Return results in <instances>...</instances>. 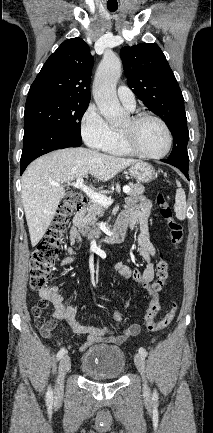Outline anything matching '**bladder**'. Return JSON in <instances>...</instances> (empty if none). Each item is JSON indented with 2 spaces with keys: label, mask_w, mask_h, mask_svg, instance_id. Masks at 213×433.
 <instances>
[{
  "label": "bladder",
  "mask_w": 213,
  "mask_h": 433,
  "mask_svg": "<svg viewBox=\"0 0 213 433\" xmlns=\"http://www.w3.org/2000/svg\"><path fill=\"white\" fill-rule=\"evenodd\" d=\"M80 368L85 375L93 379H116L125 371V354L115 345H94L82 355Z\"/></svg>",
  "instance_id": "1"
}]
</instances>
